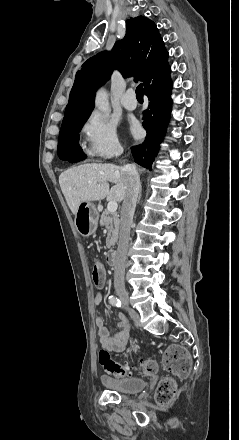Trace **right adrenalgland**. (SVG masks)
<instances>
[{"mask_svg": "<svg viewBox=\"0 0 239 440\" xmlns=\"http://www.w3.org/2000/svg\"><path fill=\"white\" fill-rule=\"evenodd\" d=\"M141 192H142V186L141 184H139V192H138V200H137V204H139L140 200H141Z\"/></svg>", "mask_w": 239, "mask_h": 440, "instance_id": "right-adrenal-gland-1", "label": "right adrenal gland"}]
</instances>
